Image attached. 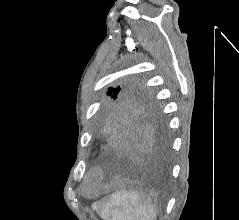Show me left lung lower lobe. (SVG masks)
Masks as SVG:
<instances>
[{
	"label": "left lung lower lobe",
	"mask_w": 239,
	"mask_h": 220,
	"mask_svg": "<svg viewBox=\"0 0 239 220\" xmlns=\"http://www.w3.org/2000/svg\"><path fill=\"white\" fill-rule=\"evenodd\" d=\"M99 128L109 166L141 160L163 162L167 157L165 128L157 112L112 107L104 111Z\"/></svg>",
	"instance_id": "0a47b994"
}]
</instances>
